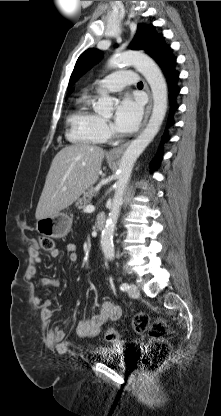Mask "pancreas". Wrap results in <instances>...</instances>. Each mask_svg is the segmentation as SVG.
Instances as JSON below:
<instances>
[{
  "mask_svg": "<svg viewBox=\"0 0 221 416\" xmlns=\"http://www.w3.org/2000/svg\"><path fill=\"white\" fill-rule=\"evenodd\" d=\"M96 190L94 188L88 189L87 192L83 193V197L78 200L76 206L78 209H84L88 204L91 203L92 197L96 196Z\"/></svg>",
  "mask_w": 221,
  "mask_h": 416,
  "instance_id": "obj_1",
  "label": "pancreas"
}]
</instances>
